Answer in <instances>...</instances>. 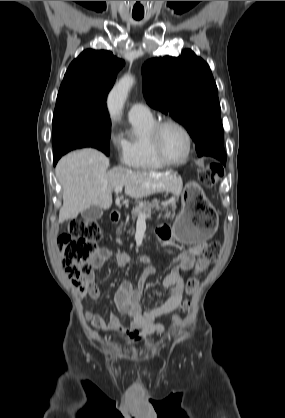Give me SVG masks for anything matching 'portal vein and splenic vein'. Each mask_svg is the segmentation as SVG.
Wrapping results in <instances>:
<instances>
[{
  "instance_id": "18ae733b",
  "label": "portal vein and splenic vein",
  "mask_w": 285,
  "mask_h": 418,
  "mask_svg": "<svg viewBox=\"0 0 285 418\" xmlns=\"http://www.w3.org/2000/svg\"><path fill=\"white\" fill-rule=\"evenodd\" d=\"M122 189H123V187H116L114 189V191H115V193H120V192H122ZM147 217H149V215L141 213V212L138 213V221H140V222H145Z\"/></svg>"
}]
</instances>
